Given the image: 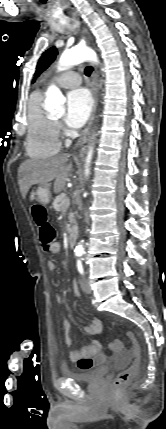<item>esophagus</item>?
Returning <instances> with one entry per match:
<instances>
[{"label":"esophagus","mask_w":166,"mask_h":429,"mask_svg":"<svg viewBox=\"0 0 166 429\" xmlns=\"http://www.w3.org/2000/svg\"><path fill=\"white\" fill-rule=\"evenodd\" d=\"M78 17V13L77 11L72 12V18L76 19ZM86 32V30H84ZM97 79H98V74L96 69L93 70L92 72V81H91V90H92V95H93V109L90 115V118L88 120V123L85 127V129L83 130L77 145L80 146L82 145L86 140L87 137L89 135L93 120H94V116H95V111H96V106H97Z\"/></svg>","instance_id":"34e87169"}]
</instances>
